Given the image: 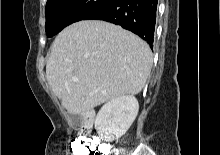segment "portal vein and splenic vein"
Returning a JSON list of instances; mask_svg holds the SVG:
<instances>
[{
    "label": "portal vein and splenic vein",
    "mask_w": 220,
    "mask_h": 155,
    "mask_svg": "<svg viewBox=\"0 0 220 155\" xmlns=\"http://www.w3.org/2000/svg\"><path fill=\"white\" fill-rule=\"evenodd\" d=\"M73 81H74V82H77V81H78V79H77V78H73Z\"/></svg>",
    "instance_id": "1"
}]
</instances>
